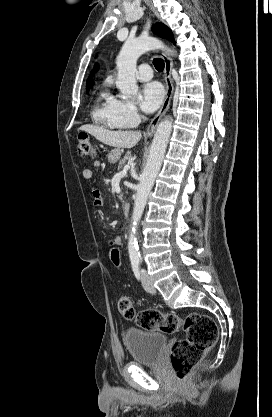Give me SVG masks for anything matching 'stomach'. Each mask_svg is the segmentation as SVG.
<instances>
[{
  "instance_id": "0dacf381",
  "label": "stomach",
  "mask_w": 272,
  "mask_h": 417,
  "mask_svg": "<svg viewBox=\"0 0 272 417\" xmlns=\"http://www.w3.org/2000/svg\"><path fill=\"white\" fill-rule=\"evenodd\" d=\"M120 157H121V149L118 147L112 149L107 154L108 161L113 164L116 163L120 159Z\"/></svg>"
}]
</instances>
